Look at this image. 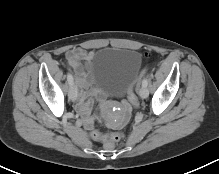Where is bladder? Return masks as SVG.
Returning <instances> with one entry per match:
<instances>
[{
	"mask_svg": "<svg viewBox=\"0 0 219 174\" xmlns=\"http://www.w3.org/2000/svg\"><path fill=\"white\" fill-rule=\"evenodd\" d=\"M141 64L142 56L137 50L110 47L94 54L88 70L93 84L102 92L119 94L137 75Z\"/></svg>",
	"mask_w": 219,
	"mask_h": 174,
	"instance_id": "31cf9c89",
	"label": "bladder"
}]
</instances>
